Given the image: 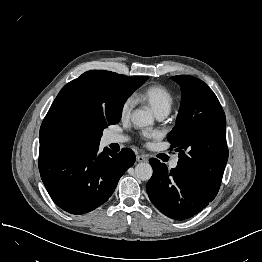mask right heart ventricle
Wrapping results in <instances>:
<instances>
[{
    "instance_id": "right-heart-ventricle-1",
    "label": "right heart ventricle",
    "mask_w": 262,
    "mask_h": 262,
    "mask_svg": "<svg viewBox=\"0 0 262 262\" xmlns=\"http://www.w3.org/2000/svg\"><path fill=\"white\" fill-rule=\"evenodd\" d=\"M139 97L147 102L156 114L162 111L169 112L174 103L172 93L166 87L158 84L146 87Z\"/></svg>"
}]
</instances>
